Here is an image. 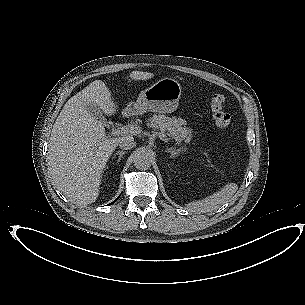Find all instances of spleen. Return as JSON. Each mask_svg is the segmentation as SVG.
I'll return each mask as SVG.
<instances>
[{"instance_id": "3e777b00", "label": "spleen", "mask_w": 305, "mask_h": 305, "mask_svg": "<svg viewBox=\"0 0 305 305\" xmlns=\"http://www.w3.org/2000/svg\"><path fill=\"white\" fill-rule=\"evenodd\" d=\"M233 184H227L219 191L198 201H193L187 205V209L194 213H206L216 210L220 205L225 203L231 194Z\"/></svg>"}]
</instances>
